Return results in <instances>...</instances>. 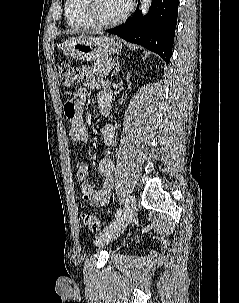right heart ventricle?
I'll use <instances>...</instances> for the list:
<instances>
[{"mask_svg": "<svg viewBox=\"0 0 239 303\" xmlns=\"http://www.w3.org/2000/svg\"><path fill=\"white\" fill-rule=\"evenodd\" d=\"M82 3L83 0H65V18L69 27L74 30H86L92 27L83 15Z\"/></svg>", "mask_w": 239, "mask_h": 303, "instance_id": "e07e8e85", "label": "right heart ventricle"}]
</instances>
